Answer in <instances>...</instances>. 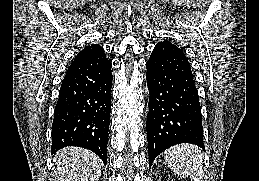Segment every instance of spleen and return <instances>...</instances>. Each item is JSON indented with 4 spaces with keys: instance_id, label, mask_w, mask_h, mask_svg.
Wrapping results in <instances>:
<instances>
[{
    "instance_id": "3e777b00",
    "label": "spleen",
    "mask_w": 259,
    "mask_h": 181,
    "mask_svg": "<svg viewBox=\"0 0 259 181\" xmlns=\"http://www.w3.org/2000/svg\"><path fill=\"white\" fill-rule=\"evenodd\" d=\"M164 158L170 169L181 178L202 181L204 175L203 154L200 148L192 144L175 145L164 152Z\"/></svg>"
}]
</instances>
